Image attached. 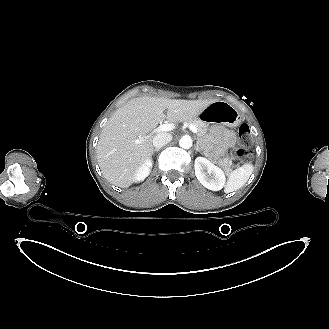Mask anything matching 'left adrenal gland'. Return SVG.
<instances>
[{"mask_svg":"<svg viewBox=\"0 0 329 329\" xmlns=\"http://www.w3.org/2000/svg\"><path fill=\"white\" fill-rule=\"evenodd\" d=\"M195 149H196V152H200L201 154H203L202 151H201V149H200L199 146H198V143H197Z\"/></svg>","mask_w":329,"mask_h":329,"instance_id":"obj_1","label":"left adrenal gland"}]
</instances>
